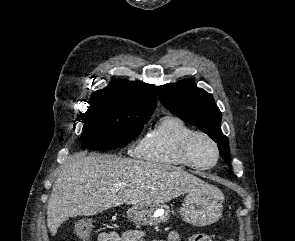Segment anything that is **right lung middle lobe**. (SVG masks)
<instances>
[{
  "mask_svg": "<svg viewBox=\"0 0 295 241\" xmlns=\"http://www.w3.org/2000/svg\"><path fill=\"white\" fill-rule=\"evenodd\" d=\"M80 137L87 149H112L136 138L152 113L105 95H91Z\"/></svg>",
  "mask_w": 295,
  "mask_h": 241,
  "instance_id": "right-lung-middle-lobe-1",
  "label": "right lung middle lobe"
}]
</instances>
